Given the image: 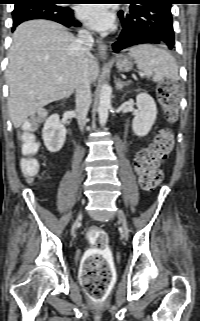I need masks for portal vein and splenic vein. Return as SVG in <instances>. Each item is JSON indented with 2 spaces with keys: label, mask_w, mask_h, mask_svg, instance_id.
Instances as JSON below:
<instances>
[{
  "label": "portal vein and splenic vein",
  "mask_w": 200,
  "mask_h": 321,
  "mask_svg": "<svg viewBox=\"0 0 200 321\" xmlns=\"http://www.w3.org/2000/svg\"><path fill=\"white\" fill-rule=\"evenodd\" d=\"M58 81H62V78H61V77H59V78H58Z\"/></svg>",
  "instance_id": "1"
}]
</instances>
